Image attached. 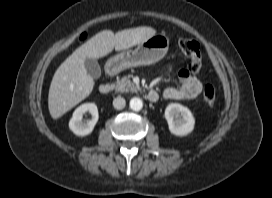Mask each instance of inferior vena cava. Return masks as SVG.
<instances>
[{"label":"inferior vena cava","mask_w":272,"mask_h":198,"mask_svg":"<svg viewBox=\"0 0 272 198\" xmlns=\"http://www.w3.org/2000/svg\"><path fill=\"white\" fill-rule=\"evenodd\" d=\"M126 101L124 98L118 96L113 100V106L117 110H121L125 107Z\"/></svg>","instance_id":"1"}]
</instances>
